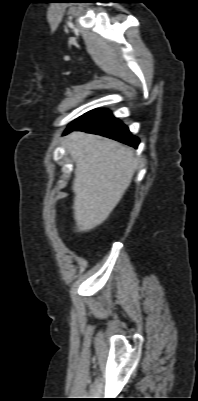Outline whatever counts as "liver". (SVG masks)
<instances>
[{"label":"liver","instance_id":"obj_1","mask_svg":"<svg viewBox=\"0 0 198 401\" xmlns=\"http://www.w3.org/2000/svg\"><path fill=\"white\" fill-rule=\"evenodd\" d=\"M76 168L74 219L77 232L102 224L122 198L139 165L131 147L117 141L73 132L66 139Z\"/></svg>","mask_w":198,"mask_h":401}]
</instances>
